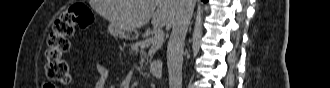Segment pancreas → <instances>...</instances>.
Returning <instances> with one entry per match:
<instances>
[{"label": "pancreas", "instance_id": "cf45deb5", "mask_svg": "<svg viewBox=\"0 0 330 88\" xmlns=\"http://www.w3.org/2000/svg\"><path fill=\"white\" fill-rule=\"evenodd\" d=\"M162 43L163 41L158 42L154 39V36L148 35L144 40L138 41L132 46V52H140L141 62H143L144 59H148V57L151 59L156 51L161 48ZM146 50H148V54Z\"/></svg>", "mask_w": 330, "mask_h": 88}]
</instances>
